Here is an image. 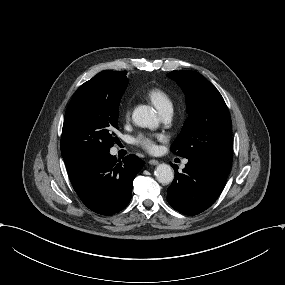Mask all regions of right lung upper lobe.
Wrapping results in <instances>:
<instances>
[{
    "label": "right lung upper lobe",
    "mask_w": 285,
    "mask_h": 285,
    "mask_svg": "<svg viewBox=\"0 0 285 285\" xmlns=\"http://www.w3.org/2000/svg\"><path fill=\"white\" fill-rule=\"evenodd\" d=\"M127 71H102L93 77L91 80L84 83L83 86L85 87H92V88H103L108 87L113 84H118L122 81L127 80L126 77ZM79 162H65L67 171L70 172Z\"/></svg>",
    "instance_id": "cb5924a9"
}]
</instances>
